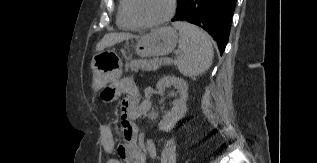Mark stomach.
<instances>
[{"instance_id": "stomach-1", "label": "stomach", "mask_w": 317, "mask_h": 163, "mask_svg": "<svg viewBox=\"0 0 317 163\" xmlns=\"http://www.w3.org/2000/svg\"><path fill=\"white\" fill-rule=\"evenodd\" d=\"M178 42L176 30L170 26H163L153 30L139 39L135 45V52L140 57H156L171 53ZM104 52L94 55L91 68L93 70L92 89L94 92L113 82L120 74L117 67H110L102 61Z\"/></svg>"}]
</instances>
